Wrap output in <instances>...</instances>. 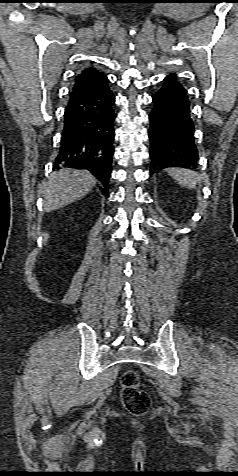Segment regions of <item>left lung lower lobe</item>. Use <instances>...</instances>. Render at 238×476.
Masks as SVG:
<instances>
[{"instance_id":"0a47b994","label":"left lung lower lobe","mask_w":238,"mask_h":476,"mask_svg":"<svg viewBox=\"0 0 238 476\" xmlns=\"http://www.w3.org/2000/svg\"><path fill=\"white\" fill-rule=\"evenodd\" d=\"M149 114L150 157L153 174L172 166L190 167L197 164L198 151L194 143V123L190 102L183 85L172 74L152 96Z\"/></svg>"}]
</instances>
